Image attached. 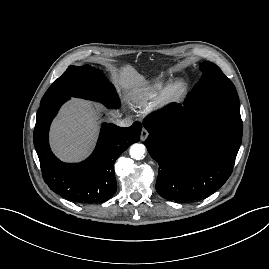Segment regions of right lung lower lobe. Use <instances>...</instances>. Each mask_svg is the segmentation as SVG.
<instances>
[{"instance_id": "98d812e1", "label": "right lung lower lobe", "mask_w": 269, "mask_h": 269, "mask_svg": "<svg viewBox=\"0 0 269 269\" xmlns=\"http://www.w3.org/2000/svg\"><path fill=\"white\" fill-rule=\"evenodd\" d=\"M69 98L46 102L37 112L33 141L44 181L67 200L83 204L104 202L117 190L113 165L130 144L139 141L142 125L134 122L122 128L103 124L97 146L87 160L77 164L63 163L50 150L48 132L52 119Z\"/></svg>"}]
</instances>
